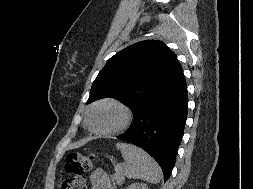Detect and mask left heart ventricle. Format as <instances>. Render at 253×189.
<instances>
[{
    "instance_id": "left-heart-ventricle-1",
    "label": "left heart ventricle",
    "mask_w": 253,
    "mask_h": 189,
    "mask_svg": "<svg viewBox=\"0 0 253 189\" xmlns=\"http://www.w3.org/2000/svg\"><path fill=\"white\" fill-rule=\"evenodd\" d=\"M123 121V114L113 105H103L96 108L91 115L93 128L98 131H109L118 127Z\"/></svg>"
}]
</instances>
